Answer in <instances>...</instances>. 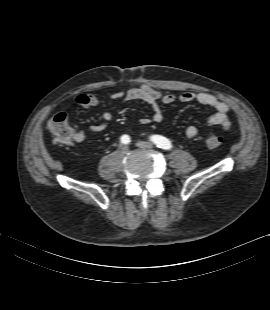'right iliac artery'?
<instances>
[{
    "instance_id": "82829eb1",
    "label": "right iliac artery",
    "mask_w": 270,
    "mask_h": 310,
    "mask_svg": "<svg viewBox=\"0 0 270 310\" xmlns=\"http://www.w3.org/2000/svg\"><path fill=\"white\" fill-rule=\"evenodd\" d=\"M121 142H122L123 144H129V143H130V137H129L128 135H123V136L121 137Z\"/></svg>"
}]
</instances>
